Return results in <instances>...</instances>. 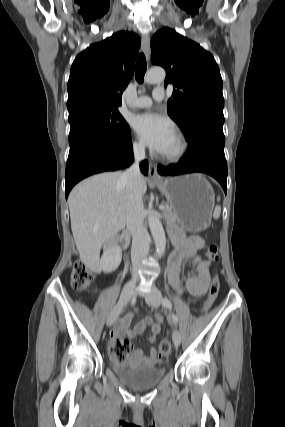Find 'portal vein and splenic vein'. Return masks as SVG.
Listing matches in <instances>:
<instances>
[{"instance_id":"portal-vein-and-splenic-vein-1","label":"portal vein and splenic vein","mask_w":285,"mask_h":427,"mask_svg":"<svg viewBox=\"0 0 285 427\" xmlns=\"http://www.w3.org/2000/svg\"><path fill=\"white\" fill-rule=\"evenodd\" d=\"M159 208H160L161 210H164L166 207H165L164 205H160V206H159Z\"/></svg>"}]
</instances>
